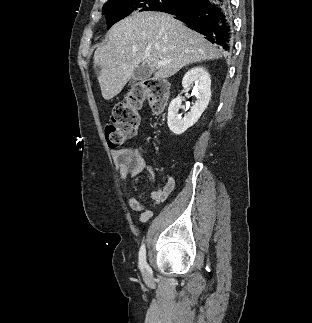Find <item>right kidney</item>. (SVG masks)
Masks as SVG:
<instances>
[{
    "label": "right kidney",
    "mask_w": 312,
    "mask_h": 323,
    "mask_svg": "<svg viewBox=\"0 0 312 323\" xmlns=\"http://www.w3.org/2000/svg\"><path fill=\"white\" fill-rule=\"evenodd\" d=\"M192 84L197 86V100L191 106L190 112H187V114H184V118H181V114H179V110L182 108L180 96L174 98L168 108L167 124L171 132L177 134V136H180V134H183L188 128L196 124L201 114L206 110L211 98V80L207 68H204V66H195V68L186 72L182 80V86L185 90H190Z\"/></svg>",
    "instance_id": "ca27d5eb"
}]
</instances>
